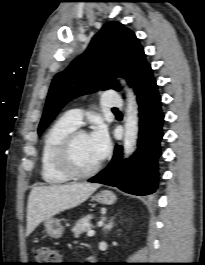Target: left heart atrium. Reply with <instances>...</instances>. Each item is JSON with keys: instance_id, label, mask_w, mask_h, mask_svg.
<instances>
[{"instance_id": "obj_1", "label": "left heart atrium", "mask_w": 205, "mask_h": 265, "mask_svg": "<svg viewBox=\"0 0 205 265\" xmlns=\"http://www.w3.org/2000/svg\"><path fill=\"white\" fill-rule=\"evenodd\" d=\"M89 139L96 158L99 161L105 158L110 150V139L106 128L98 124L89 134Z\"/></svg>"}]
</instances>
